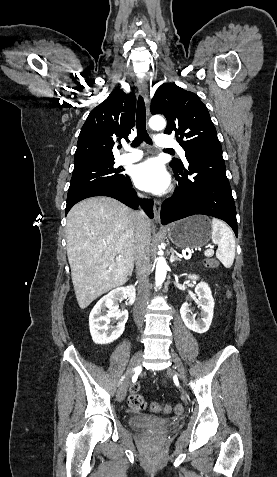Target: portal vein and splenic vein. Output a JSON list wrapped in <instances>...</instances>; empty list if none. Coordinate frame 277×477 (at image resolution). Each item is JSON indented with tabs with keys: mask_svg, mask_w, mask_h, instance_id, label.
Segmentation results:
<instances>
[{
	"mask_svg": "<svg viewBox=\"0 0 277 477\" xmlns=\"http://www.w3.org/2000/svg\"><path fill=\"white\" fill-rule=\"evenodd\" d=\"M213 253H214L213 247H210L209 249H207V250L205 251V255H206V256H212ZM184 258H188V257L185 255Z\"/></svg>",
	"mask_w": 277,
	"mask_h": 477,
	"instance_id": "1",
	"label": "portal vein and splenic vein"
}]
</instances>
